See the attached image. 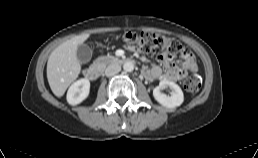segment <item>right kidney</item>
I'll list each match as a JSON object with an SVG mask.
<instances>
[{"label": "right kidney", "instance_id": "ca27d5eb", "mask_svg": "<svg viewBox=\"0 0 258 158\" xmlns=\"http://www.w3.org/2000/svg\"><path fill=\"white\" fill-rule=\"evenodd\" d=\"M90 92V81L82 78L74 82L68 89L67 102L70 105H77L84 101Z\"/></svg>", "mask_w": 258, "mask_h": 158}]
</instances>
